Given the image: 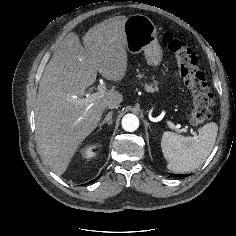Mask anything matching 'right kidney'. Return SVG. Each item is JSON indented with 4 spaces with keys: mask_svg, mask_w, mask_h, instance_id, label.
Segmentation results:
<instances>
[{
    "mask_svg": "<svg viewBox=\"0 0 236 236\" xmlns=\"http://www.w3.org/2000/svg\"><path fill=\"white\" fill-rule=\"evenodd\" d=\"M97 145L90 146L86 149H84L82 155L84 158H91L95 155V152L93 151L96 148Z\"/></svg>",
    "mask_w": 236,
    "mask_h": 236,
    "instance_id": "right-kidney-1",
    "label": "right kidney"
}]
</instances>
